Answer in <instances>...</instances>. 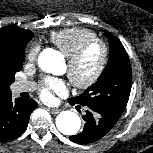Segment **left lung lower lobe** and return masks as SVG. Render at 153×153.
I'll return each instance as SVG.
<instances>
[{
  "label": "left lung lower lobe",
  "instance_id": "1",
  "mask_svg": "<svg viewBox=\"0 0 153 153\" xmlns=\"http://www.w3.org/2000/svg\"><path fill=\"white\" fill-rule=\"evenodd\" d=\"M71 105L75 104L69 99ZM85 120L84 129L77 135L70 136L69 139L75 143L89 144L98 141L104 137L111 128L115 125L111 121L98 116L94 111L87 110L86 115L83 116Z\"/></svg>",
  "mask_w": 153,
  "mask_h": 153
}]
</instances>
